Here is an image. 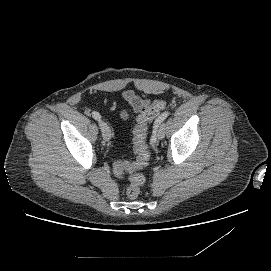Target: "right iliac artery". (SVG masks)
Instances as JSON below:
<instances>
[{
    "label": "right iliac artery",
    "mask_w": 271,
    "mask_h": 271,
    "mask_svg": "<svg viewBox=\"0 0 271 271\" xmlns=\"http://www.w3.org/2000/svg\"><path fill=\"white\" fill-rule=\"evenodd\" d=\"M92 117H93L95 120H97V121H101V116H100V114H99L98 112H96V111H93V112H92Z\"/></svg>",
    "instance_id": "right-iliac-artery-1"
}]
</instances>
